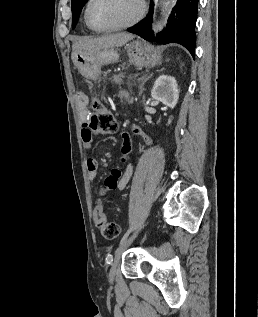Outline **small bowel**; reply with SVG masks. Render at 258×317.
<instances>
[{"label": "small bowel", "instance_id": "c3829d8e", "mask_svg": "<svg viewBox=\"0 0 258 317\" xmlns=\"http://www.w3.org/2000/svg\"><path fill=\"white\" fill-rule=\"evenodd\" d=\"M132 131L136 135H139L142 137L144 143L148 146H152V139L142 131L140 127L133 124L132 125ZM81 138L83 147L86 149H89L92 146V133L86 129L83 128L81 131ZM123 146H122V161H127V156L130 152L131 146L129 142V137L127 133L123 134ZM86 167H87V173L88 178L93 181L95 180L97 176V170H98V164L97 161L94 158H88L86 161ZM133 173V165L131 163H127L125 170L122 172L119 167H114L109 176L105 179L102 192L110 191V190H123L129 179L131 178Z\"/></svg>", "mask_w": 258, "mask_h": 317}]
</instances>
